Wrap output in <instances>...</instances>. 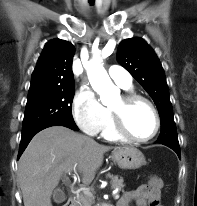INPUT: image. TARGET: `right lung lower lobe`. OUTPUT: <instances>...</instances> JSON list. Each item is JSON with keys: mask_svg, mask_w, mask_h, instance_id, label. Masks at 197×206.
Returning <instances> with one entry per match:
<instances>
[{"mask_svg": "<svg viewBox=\"0 0 197 206\" xmlns=\"http://www.w3.org/2000/svg\"><path fill=\"white\" fill-rule=\"evenodd\" d=\"M51 126H64L67 128H70L72 130H78V127L76 124L72 123H66V122H48V123H43L41 125H38L32 129H29L25 132H22V137H21V142H20V148H19V153H18V159L33 138L35 134H37L39 131L51 127Z\"/></svg>", "mask_w": 197, "mask_h": 206, "instance_id": "obj_1", "label": "right lung lower lobe"}]
</instances>
